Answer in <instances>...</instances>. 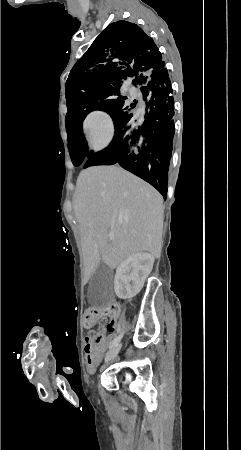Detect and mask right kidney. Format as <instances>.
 Listing matches in <instances>:
<instances>
[{"label": "right kidney", "instance_id": "right-kidney-1", "mask_svg": "<svg viewBox=\"0 0 241 450\" xmlns=\"http://www.w3.org/2000/svg\"><path fill=\"white\" fill-rule=\"evenodd\" d=\"M154 256L135 252L127 256L126 260L118 266L114 278V290L121 300H131L139 294L146 278L152 272Z\"/></svg>", "mask_w": 241, "mask_h": 450}]
</instances>
